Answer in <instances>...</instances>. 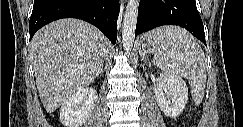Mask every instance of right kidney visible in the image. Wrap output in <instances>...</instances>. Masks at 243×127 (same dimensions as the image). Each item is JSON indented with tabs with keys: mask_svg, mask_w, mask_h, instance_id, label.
I'll list each match as a JSON object with an SVG mask.
<instances>
[{
	"mask_svg": "<svg viewBox=\"0 0 243 127\" xmlns=\"http://www.w3.org/2000/svg\"><path fill=\"white\" fill-rule=\"evenodd\" d=\"M97 99L95 89H81L63 102L60 109V121L65 127H81L91 116Z\"/></svg>",
	"mask_w": 243,
	"mask_h": 127,
	"instance_id": "ca27d5eb",
	"label": "right kidney"
}]
</instances>
